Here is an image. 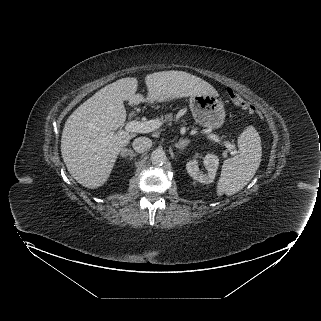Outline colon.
I'll return each mask as SVG.
<instances>
[{
    "label": "colon",
    "instance_id": "1",
    "mask_svg": "<svg viewBox=\"0 0 321 321\" xmlns=\"http://www.w3.org/2000/svg\"><path fill=\"white\" fill-rule=\"evenodd\" d=\"M228 94H229V97H230L231 101L236 106H238L240 108H243V109H247L249 111H253V112L257 111V108L253 104H251V103L247 102L246 100H244L239 94H237L233 90H229Z\"/></svg>",
    "mask_w": 321,
    "mask_h": 321
}]
</instances>
